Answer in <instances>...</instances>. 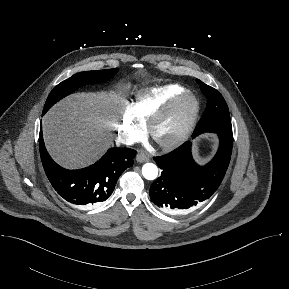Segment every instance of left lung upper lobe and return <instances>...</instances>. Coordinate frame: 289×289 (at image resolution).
<instances>
[{
	"mask_svg": "<svg viewBox=\"0 0 289 289\" xmlns=\"http://www.w3.org/2000/svg\"><path fill=\"white\" fill-rule=\"evenodd\" d=\"M202 93L208 98L206 110L198 123L195 135L203 132L232 133L228 106L223 96L211 86L196 80Z\"/></svg>",
	"mask_w": 289,
	"mask_h": 289,
	"instance_id": "left-lung-upper-lobe-1",
	"label": "left lung upper lobe"
}]
</instances>
